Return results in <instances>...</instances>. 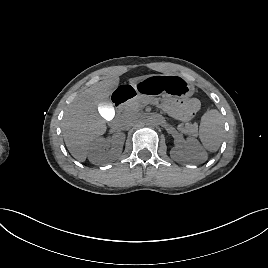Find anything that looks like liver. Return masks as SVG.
Here are the masks:
<instances>
[{
  "instance_id": "1",
  "label": "liver",
  "mask_w": 268,
  "mask_h": 268,
  "mask_svg": "<svg viewBox=\"0 0 268 268\" xmlns=\"http://www.w3.org/2000/svg\"><path fill=\"white\" fill-rule=\"evenodd\" d=\"M144 76L129 79L130 83ZM119 85V77L106 78L81 91L70 105L63 120V137L71 155L80 162L87 157L91 142L106 132V122L98 113L112 91Z\"/></svg>"
}]
</instances>
